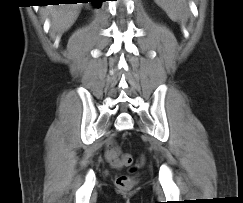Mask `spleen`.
I'll list each match as a JSON object with an SVG mask.
<instances>
[{"instance_id": "3e777b00", "label": "spleen", "mask_w": 243, "mask_h": 203, "mask_svg": "<svg viewBox=\"0 0 243 203\" xmlns=\"http://www.w3.org/2000/svg\"><path fill=\"white\" fill-rule=\"evenodd\" d=\"M173 21L186 18L188 11L186 0H155Z\"/></svg>"}]
</instances>
